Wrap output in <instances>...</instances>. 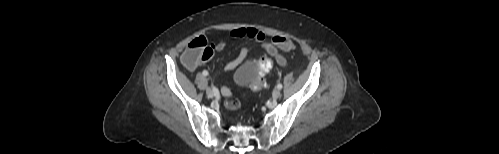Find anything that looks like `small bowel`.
Segmentation results:
<instances>
[{"instance_id":"1","label":"small bowel","mask_w":499,"mask_h":154,"mask_svg":"<svg viewBox=\"0 0 499 154\" xmlns=\"http://www.w3.org/2000/svg\"><path fill=\"white\" fill-rule=\"evenodd\" d=\"M230 36L232 38L248 37V38L256 40L259 43V48L261 50L265 51L268 55L273 57L274 60L279 65H281V66L286 65L285 58L279 53L275 44L270 43V42H266L264 34L261 31H259L258 29H256V28H237V29H234L230 32ZM211 45H212L213 49H215L217 51H222L226 48L225 42H218L216 44H211ZM247 55H248V50L246 48H242L240 50L237 58L228 62L225 65L224 71H231V70L235 69L238 65H240L246 59ZM222 93L225 96H231V92L226 87L222 88Z\"/></svg>"}]
</instances>
